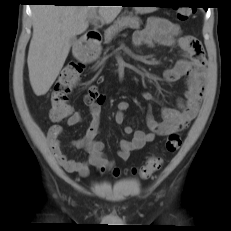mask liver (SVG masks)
<instances>
[{"mask_svg": "<svg viewBox=\"0 0 231 231\" xmlns=\"http://www.w3.org/2000/svg\"><path fill=\"white\" fill-rule=\"evenodd\" d=\"M121 6L35 5L33 36L28 52L29 79L34 93L44 95L59 75L71 47V39L84 33L87 18L98 11L99 18L111 23Z\"/></svg>", "mask_w": 231, "mask_h": 231, "instance_id": "obj_1", "label": "liver"}]
</instances>
